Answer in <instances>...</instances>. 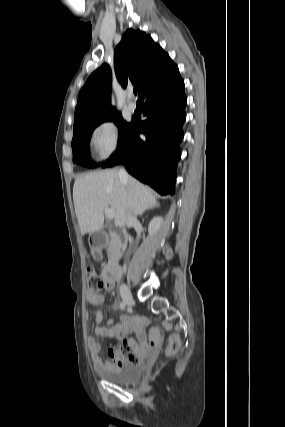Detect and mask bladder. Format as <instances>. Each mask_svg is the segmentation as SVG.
I'll list each match as a JSON object with an SVG mask.
<instances>
[{"label":"bladder","mask_w":285,"mask_h":427,"mask_svg":"<svg viewBox=\"0 0 285 427\" xmlns=\"http://www.w3.org/2000/svg\"><path fill=\"white\" fill-rule=\"evenodd\" d=\"M143 372V366L141 363L127 364L120 368L111 369L109 371H103L102 377L115 384H129L140 379Z\"/></svg>","instance_id":"bladder-1"}]
</instances>
